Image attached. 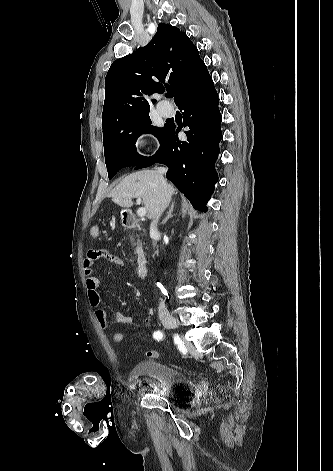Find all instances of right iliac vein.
<instances>
[{"instance_id": "63e3f726", "label": "right iliac vein", "mask_w": 333, "mask_h": 471, "mask_svg": "<svg viewBox=\"0 0 333 471\" xmlns=\"http://www.w3.org/2000/svg\"><path fill=\"white\" fill-rule=\"evenodd\" d=\"M162 324L168 329H177L179 325L170 314H164L160 317Z\"/></svg>"}]
</instances>
